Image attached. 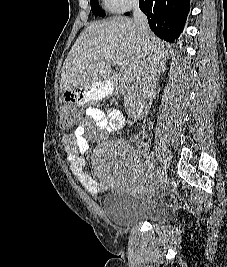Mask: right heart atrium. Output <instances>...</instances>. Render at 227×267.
<instances>
[{
  "label": "right heart atrium",
  "instance_id": "right-heart-atrium-1",
  "mask_svg": "<svg viewBox=\"0 0 227 267\" xmlns=\"http://www.w3.org/2000/svg\"><path fill=\"white\" fill-rule=\"evenodd\" d=\"M108 9L115 12L128 11L139 4V0H104Z\"/></svg>",
  "mask_w": 227,
  "mask_h": 267
}]
</instances>
